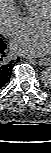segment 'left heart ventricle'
<instances>
[{"label": "left heart ventricle", "mask_w": 51, "mask_h": 153, "mask_svg": "<svg viewBox=\"0 0 51 153\" xmlns=\"http://www.w3.org/2000/svg\"><path fill=\"white\" fill-rule=\"evenodd\" d=\"M34 27L36 29H45L51 32V18L37 16L34 20Z\"/></svg>", "instance_id": "left-heart-ventricle-1"}]
</instances>
